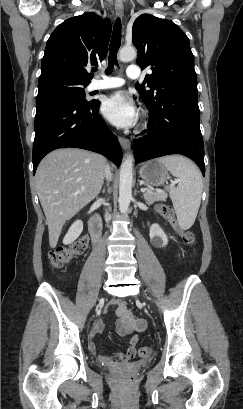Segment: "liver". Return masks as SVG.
<instances>
[{"mask_svg":"<svg viewBox=\"0 0 243 409\" xmlns=\"http://www.w3.org/2000/svg\"><path fill=\"white\" fill-rule=\"evenodd\" d=\"M105 170L106 159L102 155L75 148L57 149L40 162L36 188L51 248L56 247L66 221L99 194Z\"/></svg>","mask_w":243,"mask_h":409,"instance_id":"liver-1","label":"liver"}]
</instances>
